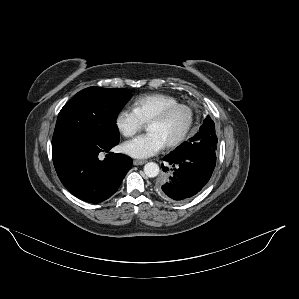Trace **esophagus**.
Returning a JSON list of instances; mask_svg holds the SVG:
<instances>
[{"label":"esophagus","mask_w":299,"mask_h":299,"mask_svg":"<svg viewBox=\"0 0 299 299\" xmlns=\"http://www.w3.org/2000/svg\"><path fill=\"white\" fill-rule=\"evenodd\" d=\"M147 161L146 160H133V165L138 166V165H143Z\"/></svg>","instance_id":"esophagus-1"}]
</instances>
